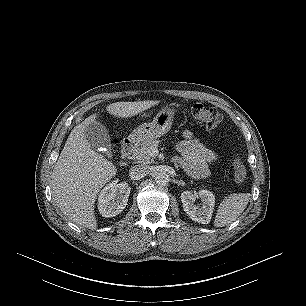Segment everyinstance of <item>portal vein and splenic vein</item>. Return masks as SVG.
Returning <instances> with one entry per match:
<instances>
[{
	"label": "portal vein and splenic vein",
	"mask_w": 306,
	"mask_h": 306,
	"mask_svg": "<svg viewBox=\"0 0 306 306\" xmlns=\"http://www.w3.org/2000/svg\"><path fill=\"white\" fill-rule=\"evenodd\" d=\"M150 153H151V156H155V155L158 154V149L157 148H152Z\"/></svg>",
	"instance_id": "obj_1"
}]
</instances>
